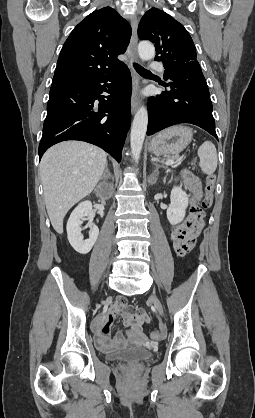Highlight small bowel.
Instances as JSON below:
<instances>
[{"label":"small bowel","instance_id":"c3829d8e","mask_svg":"<svg viewBox=\"0 0 255 418\" xmlns=\"http://www.w3.org/2000/svg\"><path fill=\"white\" fill-rule=\"evenodd\" d=\"M182 181L184 187L191 193L192 202L195 204L201 197V183L197 177L188 171L183 172ZM198 228H174L168 239L172 253L176 256H189L190 249L197 247ZM121 315L128 333L134 339H142V325L149 321L148 314L142 309H132L123 299H117L113 306L104 313L98 320L95 327V339L97 346L102 350H112L122 347L127 339L123 332H118L114 338H110V333L114 319Z\"/></svg>","mask_w":255,"mask_h":418}]
</instances>
